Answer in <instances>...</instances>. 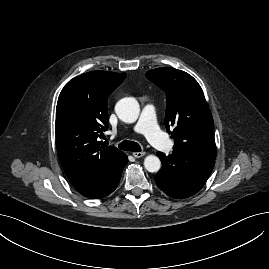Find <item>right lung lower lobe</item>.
<instances>
[{"mask_svg": "<svg viewBox=\"0 0 269 269\" xmlns=\"http://www.w3.org/2000/svg\"><path fill=\"white\" fill-rule=\"evenodd\" d=\"M127 163L128 158L127 156H125V158L119 163V165L106 176L84 186L77 187L76 189L82 195L94 199L102 198L109 195L118 186L123 168Z\"/></svg>", "mask_w": 269, "mask_h": 269, "instance_id": "98d812e1", "label": "right lung lower lobe"}]
</instances>
